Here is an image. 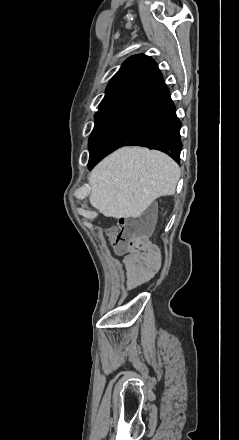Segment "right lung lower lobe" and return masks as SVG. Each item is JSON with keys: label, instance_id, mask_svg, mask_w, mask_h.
Segmentation results:
<instances>
[{"label": "right lung lower lobe", "instance_id": "98d812e1", "mask_svg": "<svg viewBox=\"0 0 239 440\" xmlns=\"http://www.w3.org/2000/svg\"><path fill=\"white\" fill-rule=\"evenodd\" d=\"M181 125L169 91L164 81H161L128 103L90 155L88 168L91 170L106 155L126 145L160 150L179 162L182 149Z\"/></svg>", "mask_w": 239, "mask_h": 440}]
</instances>
